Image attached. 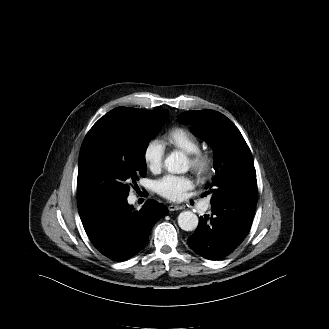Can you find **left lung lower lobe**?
<instances>
[{
    "mask_svg": "<svg viewBox=\"0 0 329 329\" xmlns=\"http://www.w3.org/2000/svg\"><path fill=\"white\" fill-rule=\"evenodd\" d=\"M257 198L256 172L251 170L246 182L228 199L211 200L212 213L200 217L195 233L188 238L189 246L210 260L229 255L249 233Z\"/></svg>",
    "mask_w": 329,
    "mask_h": 329,
    "instance_id": "left-lung-lower-lobe-1",
    "label": "left lung lower lobe"
}]
</instances>
